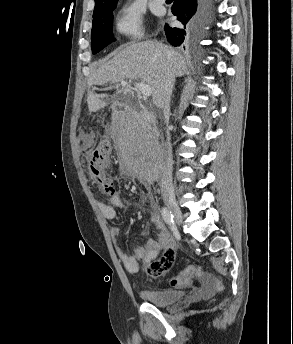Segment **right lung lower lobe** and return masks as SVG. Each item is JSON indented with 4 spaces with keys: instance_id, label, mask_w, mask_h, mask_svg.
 I'll list each match as a JSON object with an SVG mask.
<instances>
[{
    "instance_id": "98d812e1",
    "label": "right lung lower lobe",
    "mask_w": 293,
    "mask_h": 344,
    "mask_svg": "<svg viewBox=\"0 0 293 344\" xmlns=\"http://www.w3.org/2000/svg\"><path fill=\"white\" fill-rule=\"evenodd\" d=\"M209 4V0H174L172 13L184 27L166 25L164 29L168 41L174 46L183 45L189 39V27L200 25L207 17Z\"/></svg>"
}]
</instances>
